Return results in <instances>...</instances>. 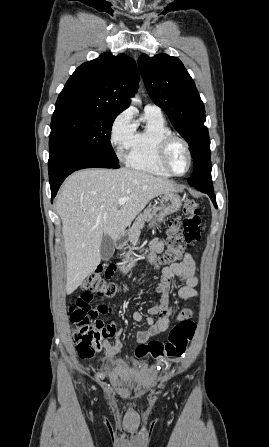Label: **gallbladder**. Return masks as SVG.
I'll list each match as a JSON object with an SVG mask.
<instances>
[{
  "instance_id": "obj_1",
  "label": "gallbladder",
  "mask_w": 269,
  "mask_h": 447,
  "mask_svg": "<svg viewBox=\"0 0 269 447\" xmlns=\"http://www.w3.org/2000/svg\"><path fill=\"white\" fill-rule=\"evenodd\" d=\"M115 251V243L109 235H104L101 241L100 253L101 259H110Z\"/></svg>"
}]
</instances>
